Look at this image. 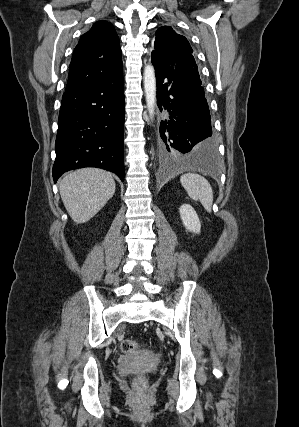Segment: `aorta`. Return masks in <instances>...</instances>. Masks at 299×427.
I'll use <instances>...</instances> for the list:
<instances>
[{
    "label": "aorta",
    "instance_id": "aorta-1",
    "mask_svg": "<svg viewBox=\"0 0 299 427\" xmlns=\"http://www.w3.org/2000/svg\"><path fill=\"white\" fill-rule=\"evenodd\" d=\"M144 90L148 112L152 119L156 105V77L152 65H147L144 69Z\"/></svg>",
    "mask_w": 299,
    "mask_h": 427
}]
</instances>
